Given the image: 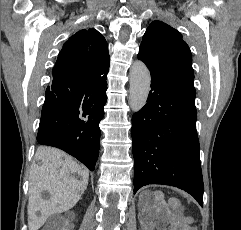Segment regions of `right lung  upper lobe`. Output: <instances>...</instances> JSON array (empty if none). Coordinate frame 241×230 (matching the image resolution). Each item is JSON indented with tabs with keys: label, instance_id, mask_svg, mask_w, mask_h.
Listing matches in <instances>:
<instances>
[{
	"label": "right lung upper lobe",
	"instance_id": "cb5924a9",
	"mask_svg": "<svg viewBox=\"0 0 241 230\" xmlns=\"http://www.w3.org/2000/svg\"><path fill=\"white\" fill-rule=\"evenodd\" d=\"M108 44L95 29H83L63 45L53 72L62 71L87 76L105 77L109 70Z\"/></svg>",
	"mask_w": 241,
	"mask_h": 230
}]
</instances>
